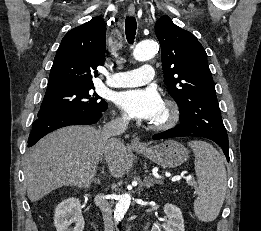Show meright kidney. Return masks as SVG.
Segmentation results:
<instances>
[{"instance_id":"obj_1","label":"right kidney","mask_w":261,"mask_h":231,"mask_svg":"<svg viewBox=\"0 0 261 231\" xmlns=\"http://www.w3.org/2000/svg\"><path fill=\"white\" fill-rule=\"evenodd\" d=\"M74 224L73 226H71ZM54 225L57 231H83L85 221L77 198L62 201L55 209Z\"/></svg>"}]
</instances>
